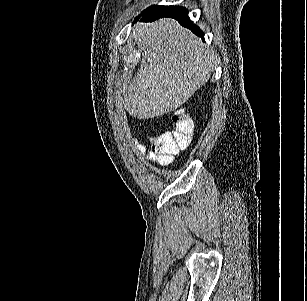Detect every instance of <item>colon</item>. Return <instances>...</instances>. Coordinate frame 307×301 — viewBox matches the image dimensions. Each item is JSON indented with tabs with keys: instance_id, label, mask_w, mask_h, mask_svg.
<instances>
[{
	"instance_id": "1",
	"label": "colon",
	"mask_w": 307,
	"mask_h": 301,
	"mask_svg": "<svg viewBox=\"0 0 307 301\" xmlns=\"http://www.w3.org/2000/svg\"><path fill=\"white\" fill-rule=\"evenodd\" d=\"M172 120L174 124L172 131L151 138L152 151L164 163H170L180 150L189 145L194 129L192 120L181 110L174 112Z\"/></svg>"
}]
</instances>
